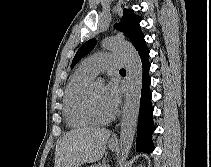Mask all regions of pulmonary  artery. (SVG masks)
Here are the masks:
<instances>
[{
	"mask_svg": "<svg viewBox=\"0 0 211 167\" xmlns=\"http://www.w3.org/2000/svg\"><path fill=\"white\" fill-rule=\"evenodd\" d=\"M124 65L122 57L109 54L101 53L90 56L82 61L81 66L89 71L91 74L96 76L101 71L117 70Z\"/></svg>",
	"mask_w": 211,
	"mask_h": 167,
	"instance_id": "obj_1",
	"label": "pulmonary artery"
}]
</instances>
